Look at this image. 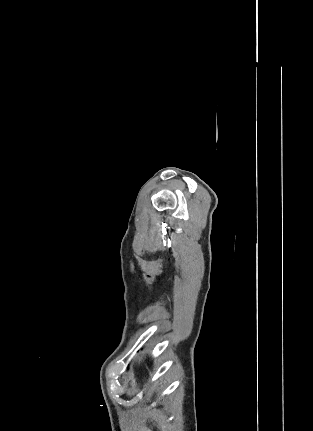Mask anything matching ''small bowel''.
<instances>
[{
	"mask_svg": "<svg viewBox=\"0 0 313 431\" xmlns=\"http://www.w3.org/2000/svg\"><path fill=\"white\" fill-rule=\"evenodd\" d=\"M137 431H150L149 428L142 422L137 424Z\"/></svg>",
	"mask_w": 313,
	"mask_h": 431,
	"instance_id": "small-bowel-1",
	"label": "small bowel"
}]
</instances>
